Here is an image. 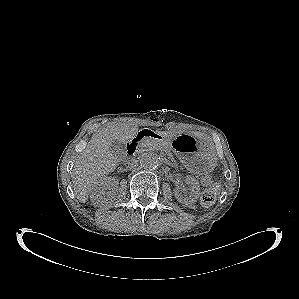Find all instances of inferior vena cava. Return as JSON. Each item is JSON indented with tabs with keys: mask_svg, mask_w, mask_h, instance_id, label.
Returning a JSON list of instances; mask_svg holds the SVG:
<instances>
[{
	"mask_svg": "<svg viewBox=\"0 0 299 299\" xmlns=\"http://www.w3.org/2000/svg\"><path fill=\"white\" fill-rule=\"evenodd\" d=\"M127 164L129 167H135L138 165V161L136 159H132Z\"/></svg>",
	"mask_w": 299,
	"mask_h": 299,
	"instance_id": "602c4592",
	"label": "inferior vena cava"
}]
</instances>
